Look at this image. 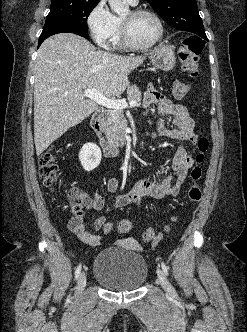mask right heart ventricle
Listing matches in <instances>:
<instances>
[{
	"mask_svg": "<svg viewBox=\"0 0 247 332\" xmlns=\"http://www.w3.org/2000/svg\"><path fill=\"white\" fill-rule=\"evenodd\" d=\"M116 30L115 33L111 39V44L114 47H121L122 46V36H121V18L116 17Z\"/></svg>",
	"mask_w": 247,
	"mask_h": 332,
	"instance_id": "1",
	"label": "right heart ventricle"
}]
</instances>
